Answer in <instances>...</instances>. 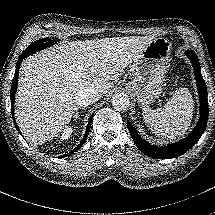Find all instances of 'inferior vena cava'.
I'll return each instance as SVG.
<instances>
[{
    "instance_id": "obj_1",
    "label": "inferior vena cava",
    "mask_w": 215,
    "mask_h": 215,
    "mask_svg": "<svg viewBox=\"0 0 215 215\" xmlns=\"http://www.w3.org/2000/svg\"><path fill=\"white\" fill-rule=\"evenodd\" d=\"M102 94L94 89L79 90L75 93L74 102L79 107H87L101 98Z\"/></svg>"
}]
</instances>
